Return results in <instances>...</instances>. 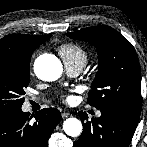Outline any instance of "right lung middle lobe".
<instances>
[{
    "label": "right lung middle lobe",
    "instance_id": "obj_1",
    "mask_svg": "<svg viewBox=\"0 0 147 147\" xmlns=\"http://www.w3.org/2000/svg\"><path fill=\"white\" fill-rule=\"evenodd\" d=\"M30 58L0 56V113L21 109L29 84Z\"/></svg>",
    "mask_w": 147,
    "mask_h": 147
}]
</instances>
